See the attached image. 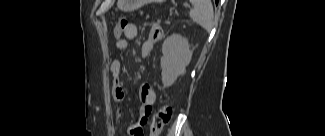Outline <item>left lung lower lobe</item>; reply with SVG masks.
I'll return each instance as SVG.
<instances>
[{"mask_svg":"<svg viewBox=\"0 0 325 136\" xmlns=\"http://www.w3.org/2000/svg\"><path fill=\"white\" fill-rule=\"evenodd\" d=\"M216 4L218 3V0H215Z\"/></svg>","mask_w":325,"mask_h":136,"instance_id":"0a47b994","label":"left lung lower lobe"}]
</instances>
